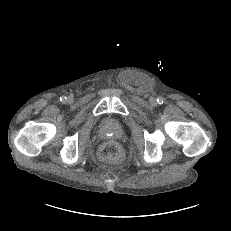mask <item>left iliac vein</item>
<instances>
[{"label": "left iliac vein", "instance_id": "4c4485c4", "mask_svg": "<svg viewBox=\"0 0 231 231\" xmlns=\"http://www.w3.org/2000/svg\"><path fill=\"white\" fill-rule=\"evenodd\" d=\"M150 101H151L152 104L156 103V99L155 98H152Z\"/></svg>", "mask_w": 231, "mask_h": 231}]
</instances>
